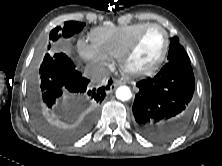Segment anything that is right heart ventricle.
Segmentation results:
<instances>
[{
	"instance_id": "obj_1",
	"label": "right heart ventricle",
	"mask_w": 222,
	"mask_h": 166,
	"mask_svg": "<svg viewBox=\"0 0 222 166\" xmlns=\"http://www.w3.org/2000/svg\"><path fill=\"white\" fill-rule=\"evenodd\" d=\"M147 24L138 22L126 26L97 28L91 32L90 40L105 57L119 59L129 42Z\"/></svg>"
}]
</instances>
